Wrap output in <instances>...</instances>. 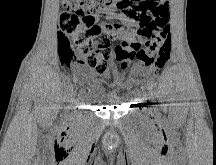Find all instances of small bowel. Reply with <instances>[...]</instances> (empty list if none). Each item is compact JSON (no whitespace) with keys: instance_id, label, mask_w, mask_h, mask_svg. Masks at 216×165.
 <instances>
[{"instance_id":"1","label":"small bowel","mask_w":216,"mask_h":165,"mask_svg":"<svg viewBox=\"0 0 216 165\" xmlns=\"http://www.w3.org/2000/svg\"><path fill=\"white\" fill-rule=\"evenodd\" d=\"M158 9L169 10L168 0H138L137 2H129L128 5H118L116 13L113 12V7L108 8L105 10V13L114 23L103 22L102 28L111 42L117 39L125 42L137 40L138 31L146 25L148 17H158L156 13ZM128 13H144L147 17L146 19H136ZM74 73L90 78L88 74H85L79 68H75ZM99 90V85L93 81L89 92L97 93Z\"/></svg>"}]
</instances>
